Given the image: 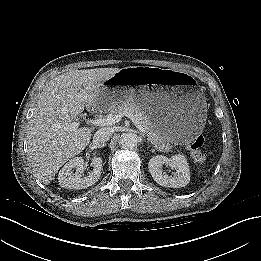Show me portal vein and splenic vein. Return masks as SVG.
<instances>
[{"mask_svg": "<svg viewBox=\"0 0 261 261\" xmlns=\"http://www.w3.org/2000/svg\"><path fill=\"white\" fill-rule=\"evenodd\" d=\"M123 116H126L128 118H130L132 120V122L134 123V125L142 132V133H146L144 127L142 126V124L139 122V120L132 114L129 112H123V113H119V114H115V115H109L107 118H99V119H86V121L88 123H91L93 125L96 126H111L114 125L115 123L119 122ZM80 125L79 121H74L72 123H70L67 128L69 130H76Z\"/></svg>", "mask_w": 261, "mask_h": 261, "instance_id": "portal-vein-and-splenic-vein-1", "label": "portal vein and splenic vein"}]
</instances>
